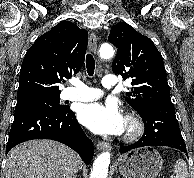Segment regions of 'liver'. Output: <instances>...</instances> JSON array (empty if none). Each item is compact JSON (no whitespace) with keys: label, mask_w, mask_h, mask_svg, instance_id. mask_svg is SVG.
I'll list each match as a JSON object with an SVG mask.
<instances>
[{"label":"liver","mask_w":194,"mask_h":178,"mask_svg":"<svg viewBox=\"0 0 194 178\" xmlns=\"http://www.w3.org/2000/svg\"><path fill=\"white\" fill-rule=\"evenodd\" d=\"M82 164L80 156L52 140H30L7 155L4 178H73Z\"/></svg>","instance_id":"obj_1"}]
</instances>
